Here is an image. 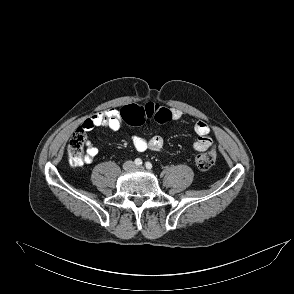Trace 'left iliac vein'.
Listing matches in <instances>:
<instances>
[{
	"mask_svg": "<svg viewBox=\"0 0 294 294\" xmlns=\"http://www.w3.org/2000/svg\"><path fill=\"white\" fill-rule=\"evenodd\" d=\"M134 169H142L141 166H135Z\"/></svg>",
	"mask_w": 294,
	"mask_h": 294,
	"instance_id": "1",
	"label": "left iliac vein"
}]
</instances>
